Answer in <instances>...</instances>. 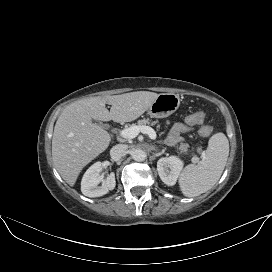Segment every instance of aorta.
<instances>
[{
  "label": "aorta",
  "mask_w": 272,
  "mask_h": 272,
  "mask_svg": "<svg viewBox=\"0 0 272 272\" xmlns=\"http://www.w3.org/2000/svg\"><path fill=\"white\" fill-rule=\"evenodd\" d=\"M132 158L135 161H144L146 159V153L141 149H135L132 152Z\"/></svg>",
  "instance_id": "aorta-1"
}]
</instances>
